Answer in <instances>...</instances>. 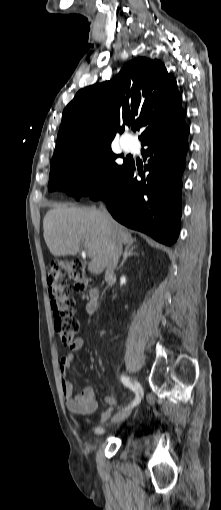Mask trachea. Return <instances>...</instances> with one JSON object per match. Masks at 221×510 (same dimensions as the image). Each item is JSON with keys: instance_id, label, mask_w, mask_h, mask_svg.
<instances>
[{"instance_id": "3493384b", "label": "trachea", "mask_w": 221, "mask_h": 510, "mask_svg": "<svg viewBox=\"0 0 221 510\" xmlns=\"http://www.w3.org/2000/svg\"><path fill=\"white\" fill-rule=\"evenodd\" d=\"M136 130H137V128H133V131H136Z\"/></svg>"}]
</instances>
